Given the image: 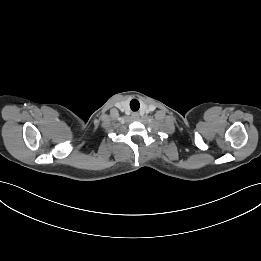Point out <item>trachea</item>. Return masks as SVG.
<instances>
[{"instance_id": "obj_1", "label": "trachea", "mask_w": 261, "mask_h": 261, "mask_svg": "<svg viewBox=\"0 0 261 261\" xmlns=\"http://www.w3.org/2000/svg\"><path fill=\"white\" fill-rule=\"evenodd\" d=\"M140 107L139 101L137 99H132L130 102V108L132 111H138Z\"/></svg>"}]
</instances>
